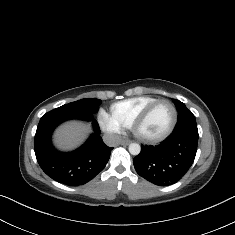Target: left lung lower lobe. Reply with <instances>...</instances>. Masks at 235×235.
Returning a JSON list of instances; mask_svg holds the SVG:
<instances>
[{"instance_id":"left-lung-lower-lobe-1","label":"left lung lower lobe","mask_w":235,"mask_h":235,"mask_svg":"<svg viewBox=\"0 0 235 235\" xmlns=\"http://www.w3.org/2000/svg\"><path fill=\"white\" fill-rule=\"evenodd\" d=\"M198 144V132L182 130L173 132L163 143L141 146L133 164L144 179L157 185L177 182L192 166Z\"/></svg>"}]
</instances>
